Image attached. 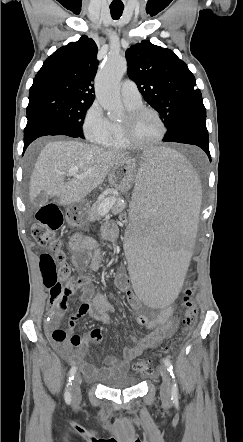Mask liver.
I'll use <instances>...</instances> for the list:
<instances>
[{"label": "liver", "mask_w": 243, "mask_h": 442, "mask_svg": "<svg viewBox=\"0 0 243 442\" xmlns=\"http://www.w3.org/2000/svg\"><path fill=\"white\" fill-rule=\"evenodd\" d=\"M128 153L83 143L51 141L41 150L29 186L30 200L44 192L58 197L59 205L79 202L98 187L119 161ZM78 167V176L68 182L65 177L71 167Z\"/></svg>", "instance_id": "liver-1"}]
</instances>
